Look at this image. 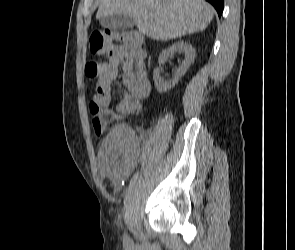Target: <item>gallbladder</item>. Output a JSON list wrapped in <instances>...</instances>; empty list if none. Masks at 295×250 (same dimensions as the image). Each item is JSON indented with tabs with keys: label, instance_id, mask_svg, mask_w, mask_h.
<instances>
[{
	"label": "gallbladder",
	"instance_id": "bac80fb5",
	"mask_svg": "<svg viewBox=\"0 0 295 250\" xmlns=\"http://www.w3.org/2000/svg\"><path fill=\"white\" fill-rule=\"evenodd\" d=\"M99 22L102 27L110 30H125L132 28L135 24L131 16L124 14L106 16L101 18Z\"/></svg>",
	"mask_w": 295,
	"mask_h": 250
}]
</instances>
